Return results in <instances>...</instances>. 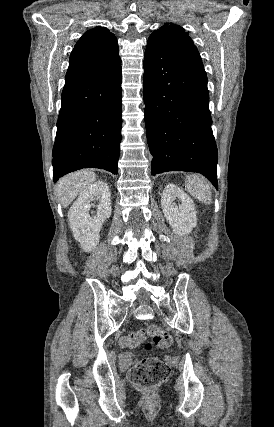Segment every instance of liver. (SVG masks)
Here are the masks:
<instances>
[{"label": "liver", "mask_w": 274, "mask_h": 427, "mask_svg": "<svg viewBox=\"0 0 274 427\" xmlns=\"http://www.w3.org/2000/svg\"><path fill=\"white\" fill-rule=\"evenodd\" d=\"M95 180L96 176L91 170H79V172H74V174H68V176L61 178L57 184V190L58 198L63 208H68L76 196Z\"/></svg>", "instance_id": "6515ba94"}]
</instances>
